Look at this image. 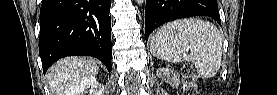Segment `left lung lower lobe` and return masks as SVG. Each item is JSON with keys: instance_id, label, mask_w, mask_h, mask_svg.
<instances>
[{"instance_id": "obj_1", "label": "left lung lower lobe", "mask_w": 277, "mask_h": 95, "mask_svg": "<svg viewBox=\"0 0 277 95\" xmlns=\"http://www.w3.org/2000/svg\"><path fill=\"white\" fill-rule=\"evenodd\" d=\"M204 15L219 21L216 0H146L145 35L160 25L178 18Z\"/></svg>"}]
</instances>
